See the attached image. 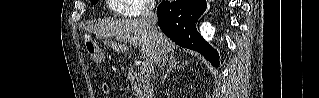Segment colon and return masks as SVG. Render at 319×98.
Wrapping results in <instances>:
<instances>
[{
	"label": "colon",
	"instance_id": "colon-1",
	"mask_svg": "<svg viewBox=\"0 0 319 98\" xmlns=\"http://www.w3.org/2000/svg\"><path fill=\"white\" fill-rule=\"evenodd\" d=\"M84 46L87 55L94 62H102L103 61V53L101 49L97 46V44L93 41V39L89 36H85Z\"/></svg>",
	"mask_w": 319,
	"mask_h": 98
}]
</instances>
